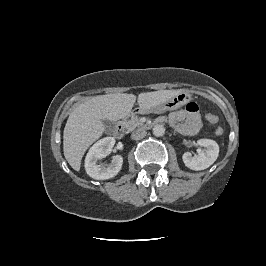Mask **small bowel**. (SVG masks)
Returning <instances> with one entry per match:
<instances>
[{"instance_id":"obj_1","label":"small bowel","mask_w":266,"mask_h":266,"mask_svg":"<svg viewBox=\"0 0 266 266\" xmlns=\"http://www.w3.org/2000/svg\"><path fill=\"white\" fill-rule=\"evenodd\" d=\"M160 120H167L183 135H195L201 128L199 109L194 102L187 104L184 109L171 112L167 118L162 117Z\"/></svg>"}]
</instances>
